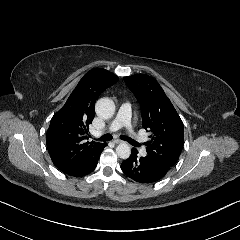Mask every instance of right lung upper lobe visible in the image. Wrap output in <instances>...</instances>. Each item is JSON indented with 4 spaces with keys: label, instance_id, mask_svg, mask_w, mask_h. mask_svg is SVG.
Segmentation results:
<instances>
[{
    "label": "right lung upper lobe",
    "instance_id": "cb5924a9",
    "mask_svg": "<svg viewBox=\"0 0 240 240\" xmlns=\"http://www.w3.org/2000/svg\"><path fill=\"white\" fill-rule=\"evenodd\" d=\"M102 68L86 73L65 105L53 116L47 130V148L55 166L62 172L77 170L99 154L106 143L86 141L97 97L118 81Z\"/></svg>",
    "mask_w": 240,
    "mask_h": 240
}]
</instances>
